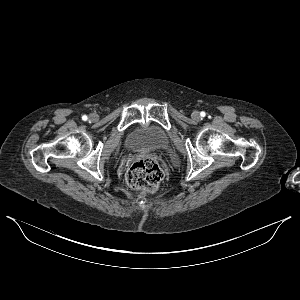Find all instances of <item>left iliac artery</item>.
<instances>
[{"mask_svg": "<svg viewBox=\"0 0 300 300\" xmlns=\"http://www.w3.org/2000/svg\"><path fill=\"white\" fill-rule=\"evenodd\" d=\"M201 116L204 117L205 116V112H201Z\"/></svg>", "mask_w": 300, "mask_h": 300, "instance_id": "left-iliac-artery-1", "label": "left iliac artery"}]
</instances>
